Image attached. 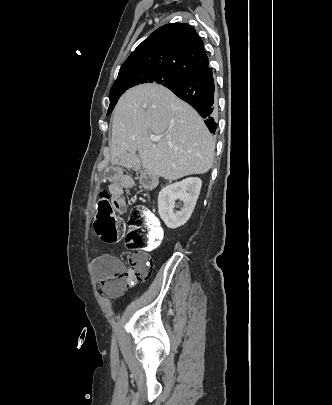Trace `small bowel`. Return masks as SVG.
I'll return each mask as SVG.
<instances>
[{
  "instance_id": "c3829d8e",
  "label": "small bowel",
  "mask_w": 332,
  "mask_h": 405,
  "mask_svg": "<svg viewBox=\"0 0 332 405\" xmlns=\"http://www.w3.org/2000/svg\"><path fill=\"white\" fill-rule=\"evenodd\" d=\"M103 185L110 186L112 192L109 199L115 215H127L128 208L124 201L123 189L131 184V178L125 175L122 162H109L103 169ZM92 265L98 277L105 280L116 272L124 271L121 261L112 255H99L92 259Z\"/></svg>"
}]
</instances>
